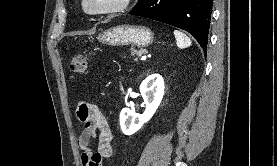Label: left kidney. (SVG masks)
<instances>
[{
  "label": "left kidney",
  "instance_id": "left-kidney-1",
  "mask_svg": "<svg viewBox=\"0 0 277 166\" xmlns=\"http://www.w3.org/2000/svg\"><path fill=\"white\" fill-rule=\"evenodd\" d=\"M164 88V80L159 74H152L141 83L140 93L146 104V109L142 115L136 114L128 108L122 109L120 126L125 135L134 134L152 118L162 101Z\"/></svg>",
  "mask_w": 277,
  "mask_h": 166
}]
</instances>
